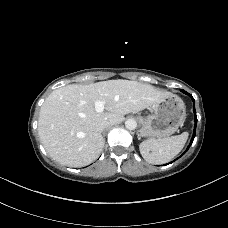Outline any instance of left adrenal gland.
<instances>
[{
	"label": "left adrenal gland",
	"instance_id": "a2214340",
	"mask_svg": "<svg viewBox=\"0 0 228 228\" xmlns=\"http://www.w3.org/2000/svg\"><path fill=\"white\" fill-rule=\"evenodd\" d=\"M137 136H138V139L140 140V135H139V134H137Z\"/></svg>",
	"mask_w": 228,
	"mask_h": 228
}]
</instances>
